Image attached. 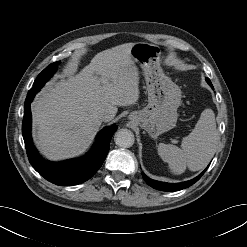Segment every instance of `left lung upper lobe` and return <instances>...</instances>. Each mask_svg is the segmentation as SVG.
Instances as JSON below:
<instances>
[{
  "label": "left lung upper lobe",
  "instance_id": "5c2ea615",
  "mask_svg": "<svg viewBox=\"0 0 247 247\" xmlns=\"http://www.w3.org/2000/svg\"><path fill=\"white\" fill-rule=\"evenodd\" d=\"M206 81L211 82L208 78H206Z\"/></svg>",
  "mask_w": 247,
  "mask_h": 247
}]
</instances>
